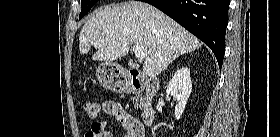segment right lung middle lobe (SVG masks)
<instances>
[{"label":"right lung middle lobe","instance_id":"dd1d6c3e","mask_svg":"<svg viewBox=\"0 0 280 137\" xmlns=\"http://www.w3.org/2000/svg\"><path fill=\"white\" fill-rule=\"evenodd\" d=\"M98 0H81L82 10L79 19L83 18Z\"/></svg>","mask_w":280,"mask_h":137}]
</instances>
